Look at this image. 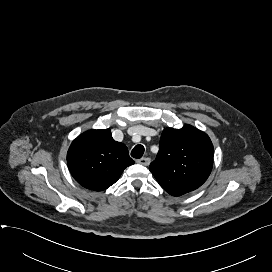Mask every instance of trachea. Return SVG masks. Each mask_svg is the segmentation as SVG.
Returning <instances> with one entry per match:
<instances>
[{
  "mask_svg": "<svg viewBox=\"0 0 272 272\" xmlns=\"http://www.w3.org/2000/svg\"><path fill=\"white\" fill-rule=\"evenodd\" d=\"M143 154H144V146L143 145H136L131 151V156L136 159L141 158L143 156Z\"/></svg>",
  "mask_w": 272,
  "mask_h": 272,
  "instance_id": "3493384b",
  "label": "trachea"
}]
</instances>
